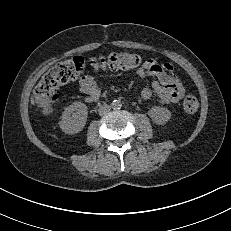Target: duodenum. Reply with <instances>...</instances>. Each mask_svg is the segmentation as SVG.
I'll use <instances>...</instances> for the list:
<instances>
[{
	"label": "duodenum",
	"mask_w": 231,
	"mask_h": 231,
	"mask_svg": "<svg viewBox=\"0 0 231 231\" xmlns=\"http://www.w3.org/2000/svg\"><path fill=\"white\" fill-rule=\"evenodd\" d=\"M87 100H88V102H95V101L97 100V98H96V97H91V96H89V97L87 98Z\"/></svg>",
	"instance_id": "410a0bca"
}]
</instances>
